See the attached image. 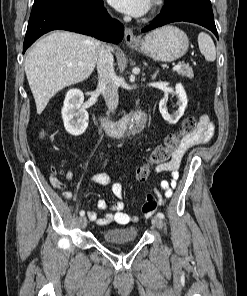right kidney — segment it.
<instances>
[{
    "instance_id": "1",
    "label": "right kidney",
    "mask_w": 247,
    "mask_h": 296,
    "mask_svg": "<svg viewBox=\"0 0 247 296\" xmlns=\"http://www.w3.org/2000/svg\"><path fill=\"white\" fill-rule=\"evenodd\" d=\"M83 92L79 89H70L65 97L62 108V119L66 131L74 136L83 134L88 127L89 116L82 108Z\"/></svg>"
}]
</instances>
